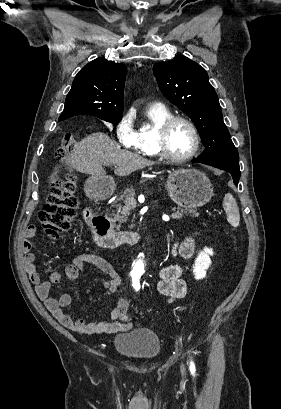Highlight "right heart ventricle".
Here are the masks:
<instances>
[{
	"label": "right heart ventricle",
	"mask_w": 281,
	"mask_h": 409,
	"mask_svg": "<svg viewBox=\"0 0 281 409\" xmlns=\"http://www.w3.org/2000/svg\"><path fill=\"white\" fill-rule=\"evenodd\" d=\"M171 116L172 113L167 109H150L148 111L150 125L140 127L135 132L133 150L143 156H158L154 143L155 130Z\"/></svg>",
	"instance_id": "e07e8e85"
}]
</instances>
